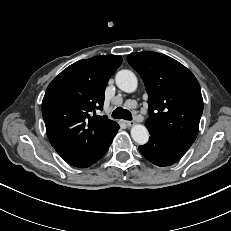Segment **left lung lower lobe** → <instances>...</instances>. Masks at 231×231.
Wrapping results in <instances>:
<instances>
[{"label":"left lung lower lobe","instance_id":"obj_1","mask_svg":"<svg viewBox=\"0 0 231 231\" xmlns=\"http://www.w3.org/2000/svg\"><path fill=\"white\" fill-rule=\"evenodd\" d=\"M149 142L139 146L142 155L158 166H170L177 162L189 149V147L164 136L158 131L148 128Z\"/></svg>","mask_w":231,"mask_h":231}]
</instances>
